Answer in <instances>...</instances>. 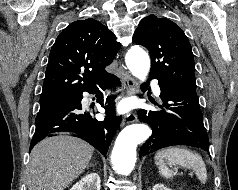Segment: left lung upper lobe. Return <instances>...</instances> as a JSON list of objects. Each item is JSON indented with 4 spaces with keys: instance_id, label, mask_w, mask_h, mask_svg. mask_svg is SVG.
<instances>
[{
    "instance_id": "5c2ea615",
    "label": "left lung upper lobe",
    "mask_w": 238,
    "mask_h": 190,
    "mask_svg": "<svg viewBox=\"0 0 238 190\" xmlns=\"http://www.w3.org/2000/svg\"><path fill=\"white\" fill-rule=\"evenodd\" d=\"M151 56L150 77L171 86L196 89L192 48L183 30L166 18H143L133 35Z\"/></svg>"
}]
</instances>
